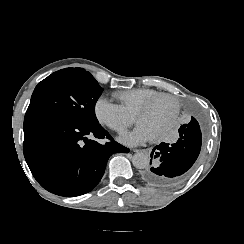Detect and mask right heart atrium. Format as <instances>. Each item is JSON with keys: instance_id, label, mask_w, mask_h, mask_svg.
Here are the masks:
<instances>
[{"instance_id": "obj_1", "label": "right heart atrium", "mask_w": 244, "mask_h": 244, "mask_svg": "<svg viewBox=\"0 0 244 244\" xmlns=\"http://www.w3.org/2000/svg\"><path fill=\"white\" fill-rule=\"evenodd\" d=\"M97 120L110 129L123 134L136 123L135 116L122 104L113 102L108 96L99 97L94 105Z\"/></svg>"}]
</instances>
